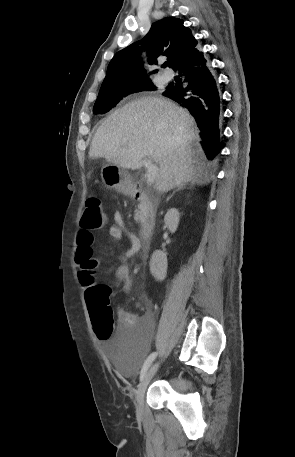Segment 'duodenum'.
<instances>
[{"label":"duodenum","instance_id":"410a0bca","mask_svg":"<svg viewBox=\"0 0 295 457\" xmlns=\"http://www.w3.org/2000/svg\"><path fill=\"white\" fill-rule=\"evenodd\" d=\"M132 196L143 205L145 210V216L140 231L141 248L142 251L145 252L150 247L155 228L153 205L146 192L140 188H135Z\"/></svg>","mask_w":295,"mask_h":457}]
</instances>
